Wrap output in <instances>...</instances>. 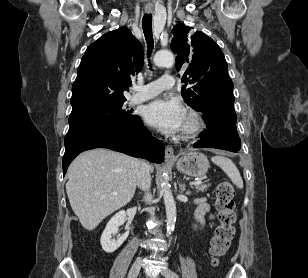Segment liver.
Returning a JSON list of instances; mask_svg holds the SVG:
<instances>
[{
    "label": "liver",
    "instance_id": "1",
    "mask_svg": "<svg viewBox=\"0 0 308 278\" xmlns=\"http://www.w3.org/2000/svg\"><path fill=\"white\" fill-rule=\"evenodd\" d=\"M140 167V160L104 148L75 158L68 168L66 192L85 229H95L105 217L131 201Z\"/></svg>",
    "mask_w": 308,
    "mask_h": 278
}]
</instances>
